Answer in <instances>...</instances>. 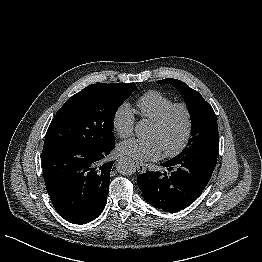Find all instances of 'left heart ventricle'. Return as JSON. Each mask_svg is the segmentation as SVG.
Returning a JSON list of instances; mask_svg holds the SVG:
<instances>
[{"label":"left heart ventricle","instance_id":"left-heart-ventricle-1","mask_svg":"<svg viewBox=\"0 0 262 262\" xmlns=\"http://www.w3.org/2000/svg\"><path fill=\"white\" fill-rule=\"evenodd\" d=\"M186 131V117L182 110L173 113L169 123L163 129L153 124L149 138L157 139L164 151L173 150L182 141Z\"/></svg>","mask_w":262,"mask_h":262}]
</instances>
